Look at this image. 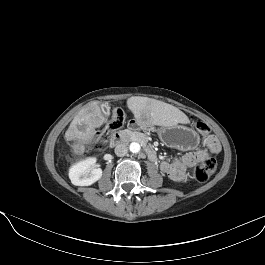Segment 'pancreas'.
I'll list each match as a JSON object with an SVG mask.
<instances>
[{
  "label": "pancreas",
  "mask_w": 265,
  "mask_h": 265,
  "mask_svg": "<svg viewBox=\"0 0 265 265\" xmlns=\"http://www.w3.org/2000/svg\"><path fill=\"white\" fill-rule=\"evenodd\" d=\"M131 136L138 141H141L142 143H146L147 142V138L146 135L144 134H140V133H131Z\"/></svg>",
  "instance_id": "obj_1"
}]
</instances>
